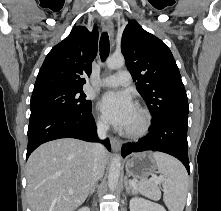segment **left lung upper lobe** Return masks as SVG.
<instances>
[{"mask_svg": "<svg viewBox=\"0 0 221 211\" xmlns=\"http://www.w3.org/2000/svg\"><path fill=\"white\" fill-rule=\"evenodd\" d=\"M121 51L154 122L169 114H188L179 69L170 49L160 39L136 21H130L122 35Z\"/></svg>", "mask_w": 221, "mask_h": 211, "instance_id": "5c2ea615", "label": "left lung upper lobe"}]
</instances>
